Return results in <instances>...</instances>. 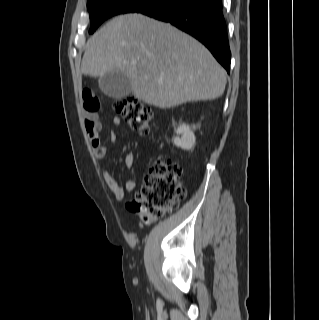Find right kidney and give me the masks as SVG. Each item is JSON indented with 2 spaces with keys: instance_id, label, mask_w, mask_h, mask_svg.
Segmentation results:
<instances>
[{
  "instance_id": "ca27d5eb",
  "label": "right kidney",
  "mask_w": 319,
  "mask_h": 320,
  "mask_svg": "<svg viewBox=\"0 0 319 320\" xmlns=\"http://www.w3.org/2000/svg\"><path fill=\"white\" fill-rule=\"evenodd\" d=\"M194 129H196L195 125L192 127L184 123L179 125L178 128L175 129L177 136L173 138L174 144L184 150L192 149L196 140L193 132ZM179 135H181V138Z\"/></svg>"
}]
</instances>
